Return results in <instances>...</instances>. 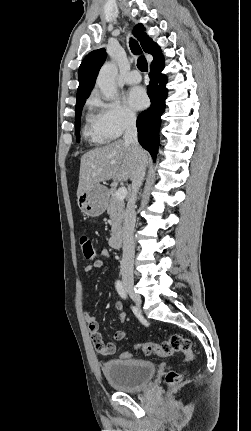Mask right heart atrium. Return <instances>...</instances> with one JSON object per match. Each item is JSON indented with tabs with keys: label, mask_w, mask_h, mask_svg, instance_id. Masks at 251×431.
<instances>
[{
	"label": "right heart atrium",
	"mask_w": 251,
	"mask_h": 431,
	"mask_svg": "<svg viewBox=\"0 0 251 431\" xmlns=\"http://www.w3.org/2000/svg\"><path fill=\"white\" fill-rule=\"evenodd\" d=\"M89 104L95 111L93 117L98 131L108 139L119 137L136 124V114L118 99L106 101L94 95Z\"/></svg>",
	"instance_id": "d8ad5b80"
}]
</instances>
